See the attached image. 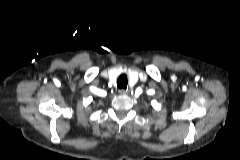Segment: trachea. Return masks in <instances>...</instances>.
Returning <instances> with one entry per match:
<instances>
[{"instance_id": "1", "label": "trachea", "mask_w": 240, "mask_h": 160, "mask_svg": "<svg viewBox=\"0 0 240 160\" xmlns=\"http://www.w3.org/2000/svg\"><path fill=\"white\" fill-rule=\"evenodd\" d=\"M127 76L126 75H120L117 79V87L119 89H126L127 88Z\"/></svg>"}]
</instances>
